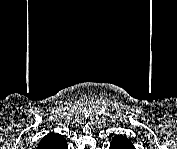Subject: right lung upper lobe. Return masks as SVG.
I'll return each mask as SVG.
<instances>
[{"mask_svg": "<svg viewBox=\"0 0 177 149\" xmlns=\"http://www.w3.org/2000/svg\"><path fill=\"white\" fill-rule=\"evenodd\" d=\"M56 140H54L51 144H48L47 146H42L44 148H50V149H63L60 148L58 145H61L62 143H65V139L60 134H55Z\"/></svg>", "mask_w": 177, "mask_h": 149, "instance_id": "right-lung-upper-lobe-1", "label": "right lung upper lobe"}]
</instances>
